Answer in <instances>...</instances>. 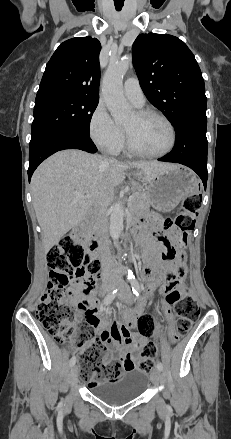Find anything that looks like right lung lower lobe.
Masks as SVG:
<instances>
[{"label":"right lung lower lobe","mask_w":231,"mask_h":439,"mask_svg":"<svg viewBox=\"0 0 231 439\" xmlns=\"http://www.w3.org/2000/svg\"><path fill=\"white\" fill-rule=\"evenodd\" d=\"M64 149H80L95 153L97 148L89 134L63 127L46 132L29 145V181L38 165L53 153Z\"/></svg>","instance_id":"right-lung-lower-lobe-1"}]
</instances>
